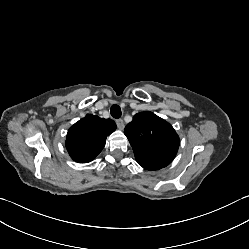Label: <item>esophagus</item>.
Instances as JSON below:
<instances>
[{"instance_id": "1", "label": "esophagus", "mask_w": 249, "mask_h": 249, "mask_svg": "<svg viewBox=\"0 0 249 249\" xmlns=\"http://www.w3.org/2000/svg\"><path fill=\"white\" fill-rule=\"evenodd\" d=\"M116 124H117V127H118L119 129H121V130H123L124 127H125L124 122H123L122 119H117V120H116Z\"/></svg>"}]
</instances>
